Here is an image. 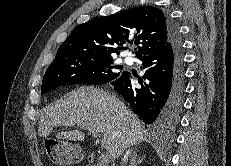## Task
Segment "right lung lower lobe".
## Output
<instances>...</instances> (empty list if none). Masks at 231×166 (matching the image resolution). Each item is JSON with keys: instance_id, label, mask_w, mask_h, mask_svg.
Segmentation results:
<instances>
[{"instance_id": "1", "label": "right lung lower lobe", "mask_w": 231, "mask_h": 166, "mask_svg": "<svg viewBox=\"0 0 231 166\" xmlns=\"http://www.w3.org/2000/svg\"><path fill=\"white\" fill-rule=\"evenodd\" d=\"M169 42L159 51L139 58L145 74L136 87L129 72L110 82L133 111L156 134H164L178 122L184 93L183 49L177 26L170 19Z\"/></svg>"}]
</instances>
